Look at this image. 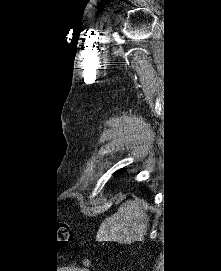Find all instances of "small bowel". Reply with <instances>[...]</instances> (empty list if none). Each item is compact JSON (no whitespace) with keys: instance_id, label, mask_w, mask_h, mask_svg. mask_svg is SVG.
Listing matches in <instances>:
<instances>
[{"instance_id":"c3829d8e","label":"small bowel","mask_w":221,"mask_h":271,"mask_svg":"<svg viewBox=\"0 0 221 271\" xmlns=\"http://www.w3.org/2000/svg\"><path fill=\"white\" fill-rule=\"evenodd\" d=\"M88 266H89V262L87 261L84 267L72 266L70 270L71 271H88Z\"/></svg>"}]
</instances>
